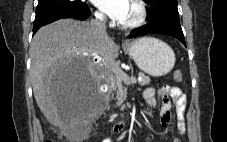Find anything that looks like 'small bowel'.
Segmentation results:
<instances>
[{
    "instance_id": "obj_1",
    "label": "small bowel",
    "mask_w": 227,
    "mask_h": 142,
    "mask_svg": "<svg viewBox=\"0 0 227 142\" xmlns=\"http://www.w3.org/2000/svg\"><path fill=\"white\" fill-rule=\"evenodd\" d=\"M156 95L161 96L162 104L160 109L161 123L165 127H169L172 121L171 112V101L170 98L174 100L177 114H178V129L179 133L183 134L185 132L184 124V111L186 107V97L182 91L177 87H171L169 85H164L157 90L154 88H146L143 91V99L151 107L154 108L157 105ZM151 140V136H147V141ZM102 142H113L111 139H105ZM174 142H178L175 140Z\"/></svg>"
}]
</instances>
